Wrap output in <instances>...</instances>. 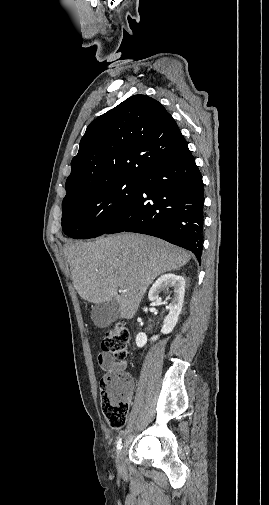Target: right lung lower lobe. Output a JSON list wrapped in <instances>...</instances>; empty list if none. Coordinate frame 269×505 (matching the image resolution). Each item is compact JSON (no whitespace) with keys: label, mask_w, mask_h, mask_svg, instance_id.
<instances>
[{"label":"right lung lower lobe","mask_w":269,"mask_h":505,"mask_svg":"<svg viewBox=\"0 0 269 505\" xmlns=\"http://www.w3.org/2000/svg\"><path fill=\"white\" fill-rule=\"evenodd\" d=\"M204 184L188 147L147 170L121 217L105 232H137L192 251L199 263L204 225Z\"/></svg>","instance_id":"obj_1"}]
</instances>
